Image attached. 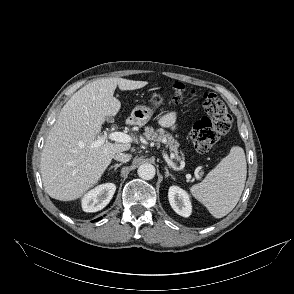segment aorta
Instances as JSON below:
<instances>
[{
	"mask_svg": "<svg viewBox=\"0 0 294 294\" xmlns=\"http://www.w3.org/2000/svg\"><path fill=\"white\" fill-rule=\"evenodd\" d=\"M137 172L140 178L144 180H151L154 178L156 170L152 164L145 163L139 166Z\"/></svg>",
	"mask_w": 294,
	"mask_h": 294,
	"instance_id": "aorta-1",
	"label": "aorta"
}]
</instances>
